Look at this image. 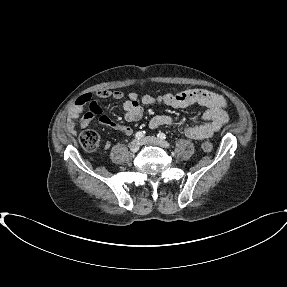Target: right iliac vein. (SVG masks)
I'll list each match as a JSON object with an SVG mask.
<instances>
[{
  "instance_id": "obj_1",
  "label": "right iliac vein",
  "mask_w": 287,
  "mask_h": 287,
  "mask_svg": "<svg viewBox=\"0 0 287 287\" xmlns=\"http://www.w3.org/2000/svg\"><path fill=\"white\" fill-rule=\"evenodd\" d=\"M140 145H141L140 141L135 139L129 144V149L131 152L135 153L139 150Z\"/></svg>"
}]
</instances>
